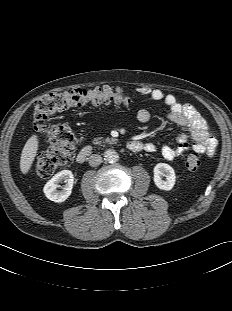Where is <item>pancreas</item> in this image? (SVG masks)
<instances>
[{"mask_svg":"<svg viewBox=\"0 0 232 311\" xmlns=\"http://www.w3.org/2000/svg\"><path fill=\"white\" fill-rule=\"evenodd\" d=\"M117 140L116 139H113V138H106L104 140H102V137H99V138H95L92 143L93 144H102V143H110V144H113L115 143Z\"/></svg>","mask_w":232,"mask_h":311,"instance_id":"obj_1","label":"pancreas"}]
</instances>
